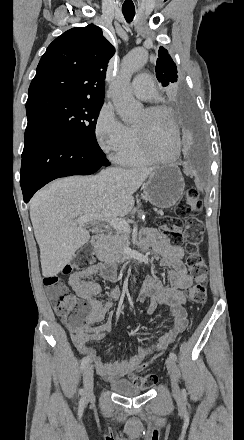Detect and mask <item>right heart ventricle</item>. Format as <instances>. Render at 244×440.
Segmentation results:
<instances>
[{
	"mask_svg": "<svg viewBox=\"0 0 244 440\" xmlns=\"http://www.w3.org/2000/svg\"><path fill=\"white\" fill-rule=\"evenodd\" d=\"M133 135L136 137L137 140L135 148L130 151L117 153L114 156V161L122 166H129V167L152 166L154 164V159H153V155L149 154V149H154L155 146L145 145L144 147H141L139 142V137H140L139 132L133 129Z\"/></svg>",
	"mask_w": 244,
	"mask_h": 440,
	"instance_id": "1",
	"label": "right heart ventricle"
}]
</instances>
